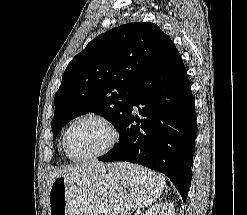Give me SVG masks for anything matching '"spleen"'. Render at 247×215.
<instances>
[{
    "label": "spleen",
    "instance_id": "3e777b00",
    "mask_svg": "<svg viewBox=\"0 0 247 215\" xmlns=\"http://www.w3.org/2000/svg\"><path fill=\"white\" fill-rule=\"evenodd\" d=\"M164 186H165V188H166V191H167V186H166L165 182H164Z\"/></svg>",
    "mask_w": 247,
    "mask_h": 215
}]
</instances>
